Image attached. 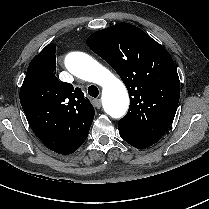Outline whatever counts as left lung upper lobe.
Instances as JSON below:
<instances>
[{
	"label": "left lung upper lobe",
	"mask_w": 209,
	"mask_h": 209,
	"mask_svg": "<svg viewBox=\"0 0 209 209\" xmlns=\"http://www.w3.org/2000/svg\"><path fill=\"white\" fill-rule=\"evenodd\" d=\"M89 48L119 74L130 106L118 129L156 143L171 125L179 102L180 81L170 54L140 28L119 23L87 39Z\"/></svg>",
	"instance_id": "1"
}]
</instances>
